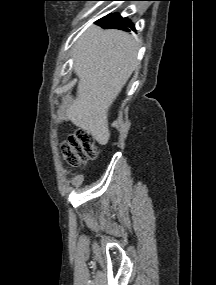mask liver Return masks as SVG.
Here are the masks:
<instances>
[{
	"label": "liver",
	"mask_w": 216,
	"mask_h": 285,
	"mask_svg": "<svg viewBox=\"0 0 216 285\" xmlns=\"http://www.w3.org/2000/svg\"><path fill=\"white\" fill-rule=\"evenodd\" d=\"M137 41L119 30L89 28L74 48V71L79 77L76 100L66 109L77 127L108 143V111L137 65Z\"/></svg>",
	"instance_id": "1"
}]
</instances>
